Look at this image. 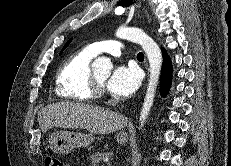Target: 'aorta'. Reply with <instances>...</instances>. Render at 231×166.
<instances>
[{"instance_id": "1", "label": "aorta", "mask_w": 231, "mask_h": 166, "mask_svg": "<svg viewBox=\"0 0 231 166\" xmlns=\"http://www.w3.org/2000/svg\"><path fill=\"white\" fill-rule=\"evenodd\" d=\"M116 36L118 38L126 39L131 42L140 44L149 60L150 77H149L145 99L139 117V130H140L144 126L149 116L151 107L153 105L155 92L159 82V77L162 67L161 50L157 45V43L151 37H149L147 34H145L142 30L138 28H129V27L121 26L116 31ZM92 67L94 68V70L98 72H102L106 75H109L111 69L113 68V65L109 58L102 56L97 58L93 62Z\"/></svg>"}]
</instances>
